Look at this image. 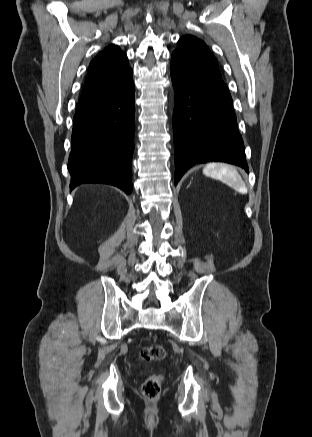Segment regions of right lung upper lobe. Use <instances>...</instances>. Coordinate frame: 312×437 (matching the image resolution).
<instances>
[{"mask_svg": "<svg viewBox=\"0 0 312 437\" xmlns=\"http://www.w3.org/2000/svg\"><path fill=\"white\" fill-rule=\"evenodd\" d=\"M131 72L126 54L118 46L109 45L91 61L79 102L113 89Z\"/></svg>", "mask_w": 312, "mask_h": 437, "instance_id": "right-lung-upper-lobe-1", "label": "right lung upper lobe"}]
</instances>
